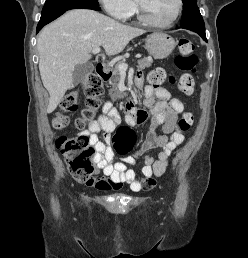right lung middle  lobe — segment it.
Masks as SVG:
<instances>
[{
    "instance_id": "right-lung-middle-lobe-1",
    "label": "right lung middle lobe",
    "mask_w": 248,
    "mask_h": 258,
    "mask_svg": "<svg viewBox=\"0 0 248 258\" xmlns=\"http://www.w3.org/2000/svg\"><path fill=\"white\" fill-rule=\"evenodd\" d=\"M83 3L99 5L97 0H46L41 17Z\"/></svg>"
}]
</instances>
